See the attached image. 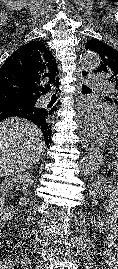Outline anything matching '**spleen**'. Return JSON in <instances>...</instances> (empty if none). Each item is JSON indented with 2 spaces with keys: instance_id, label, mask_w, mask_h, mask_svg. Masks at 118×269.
<instances>
[{
  "instance_id": "spleen-1",
  "label": "spleen",
  "mask_w": 118,
  "mask_h": 269,
  "mask_svg": "<svg viewBox=\"0 0 118 269\" xmlns=\"http://www.w3.org/2000/svg\"><path fill=\"white\" fill-rule=\"evenodd\" d=\"M116 157L118 159V152L116 153ZM112 165H114V170H115L116 174H118V161L114 160Z\"/></svg>"
}]
</instances>
